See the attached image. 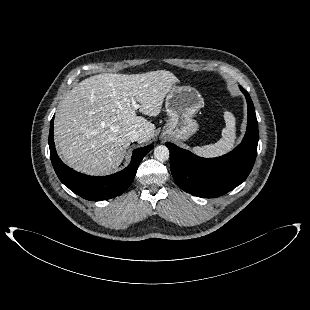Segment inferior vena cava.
<instances>
[{"label": "inferior vena cava", "mask_w": 310, "mask_h": 310, "mask_svg": "<svg viewBox=\"0 0 310 310\" xmlns=\"http://www.w3.org/2000/svg\"><path fill=\"white\" fill-rule=\"evenodd\" d=\"M141 132L137 130H132L128 133L129 139L134 142L138 141L141 138Z\"/></svg>", "instance_id": "1"}]
</instances>
